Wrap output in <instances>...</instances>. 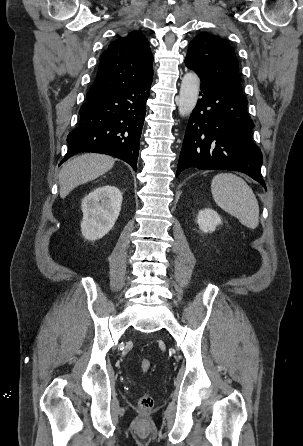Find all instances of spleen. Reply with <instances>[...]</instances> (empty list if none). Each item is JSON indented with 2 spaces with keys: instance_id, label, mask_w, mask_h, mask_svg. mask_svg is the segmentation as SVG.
<instances>
[{
  "instance_id": "obj_1",
  "label": "spleen",
  "mask_w": 303,
  "mask_h": 446,
  "mask_svg": "<svg viewBox=\"0 0 303 446\" xmlns=\"http://www.w3.org/2000/svg\"><path fill=\"white\" fill-rule=\"evenodd\" d=\"M211 191L218 206L236 217L244 226L259 224V205L250 186L233 173H220L212 179Z\"/></svg>"
}]
</instances>
